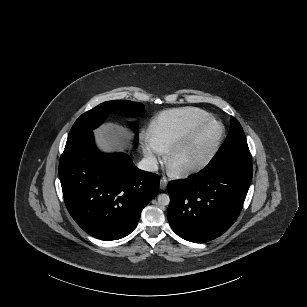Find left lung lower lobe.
Listing matches in <instances>:
<instances>
[{
    "label": "left lung lower lobe",
    "mask_w": 307,
    "mask_h": 307,
    "mask_svg": "<svg viewBox=\"0 0 307 307\" xmlns=\"http://www.w3.org/2000/svg\"><path fill=\"white\" fill-rule=\"evenodd\" d=\"M252 173L251 162L230 160L169 182L167 215L173 231L195 243L222 235L242 209Z\"/></svg>",
    "instance_id": "obj_1"
}]
</instances>
